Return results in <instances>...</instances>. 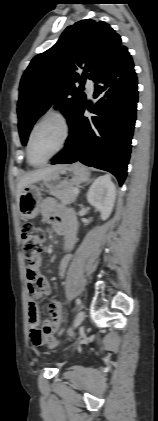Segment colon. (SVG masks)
Masks as SVG:
<instances>
[{
  "mask_svg": "<svg viewBox=\"0 0 158 421\" xmlns=\"http://www.w3.org/2000/svg\"><path fill=\"white\" fill-rule=\"evenodd\" d=\"M21 238L24 257L29 264H33L42 251L45 233L40 227L27 223L22 227ZM34 340L36 343L43 341L51 347H56L60 344V341L53 335L42 337L39 333H35Z\"/></svg>",
  "mask_w": 158,
  "mask_h": 421,
  "instance_id": "1",
  "label": "colon"
}]
</instances>
